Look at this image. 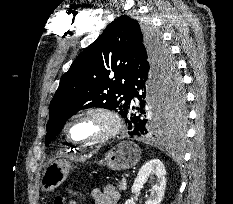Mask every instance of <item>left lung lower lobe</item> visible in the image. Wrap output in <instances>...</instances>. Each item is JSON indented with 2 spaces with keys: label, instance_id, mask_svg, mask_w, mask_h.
<instances>
[{
  "label": "left lung lower lobe",
  "instance_id": "left-lung-lower-lobe-1",
  "mask_svg": "<svg viewBox=\"0 0 233 204\" xmlns=\"http://www.w3.org/2000/svg\"><path fill=\"white\" fill-rule=\"evenodd\" d=\"M178 77L180 78L176 68V76L171 80L172 84L176 82ZM134 96L139 100L138 105H134L132 101ZM163 96L158 76L151 68L150 63L146 61L144 50H140L130 70L128 107L123 115L128 123L129 135L143 136L149 134L156 136L174 130L182 131L184 119L178 127L165 126Z\"/></svg>",
  "mask_w": 233,
  "mask_h": 204
}]
</instances>
